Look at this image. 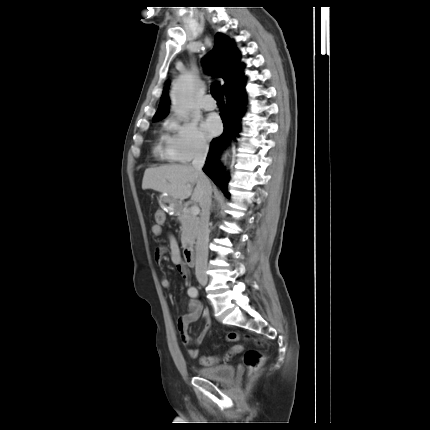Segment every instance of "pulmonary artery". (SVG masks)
Wrapping results in <instances>:
<instances>
[{
	"label": "pulmonary artery",
	"instance_id": "obj_1",
	"mask_svg": "<svg viewBox=\"0 0 430 430\" xmlns=\"http://www.w3.org/2000/svg\"><path fill=\"white\" fill-rule=\"evenodd\" d=\"M216 102L214 101V99L212 98V96L210 95H206L203 99V103H202V107L203 109L210 111V110H214L216 108Z\"/></svg>",
	"mask_w": 430,
	"mask_h": 430
}]
</instances>
